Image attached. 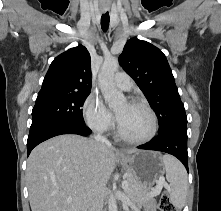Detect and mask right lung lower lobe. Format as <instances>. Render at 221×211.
I'll return each instance as SVG.
<instances>
[{"mask_svg": "<svg viewBox=\"0 0 221 211\" xmlns=\"http://www.w3.org/2000/svg\"><path fill=\"white\" fill-rule=\"evenodd\" d=\"M62 134L87 136L91 134V130L86 125L68 122H52L39 125L30 129L27 140V156H29L31 150L41 142Z\"/></svg>", "mask_w": 221, "mask_h": 211, "instance_id": "obj_1", "label": "right lung lower lobe"}]
</instances>
